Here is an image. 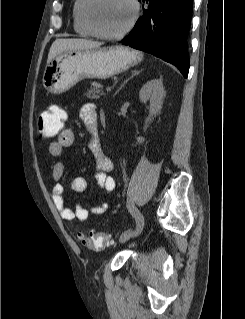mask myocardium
I'll return each instance as SVG.
<instances>
[{
	"instance_id": "myocardium-1",
	"label": "myocardium",
	"mask_w": 245,
	"mask_h": 319,
	"mask_svg": "<svg viewBox=\"0 0 245 319\" xmlns=\"http://www.w3.org/2000/svg\"><path fill=\"white\" fill-rule=\"evenodd\" d=\"M97 2V0H86V3L83 8V15H84V20L89 27V29L93 32V34L99 38L102 39H107V40H117L122 37H124L126 34H128L132 28L135 26L139 15H140V7L137 2V0H128V2L132 6V17L128 24L119 32L116 33H106L103 32L102 30L99 29V27L96 25V23L93 20L92 17V8L94 4Z\"/></svg>"
}]
</instances>
